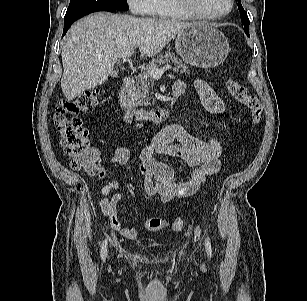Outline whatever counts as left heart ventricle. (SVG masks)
<instances>
[{
  "instance_id": "left-heart-ventricle-1",
  "label": "left heart ventricle",
  "mask_w": 307,
  "mask_h": 301,
  "mask_svg": "<svg viewBox=\"0 0 307 301\" xmlns=\"http://www.w3.org/2000/svg\"><path fill=\"white\" fill-rule=\"evenodd\" d=\"M195 6L210 14H221L228 10L229 0H194Z\"/></svg>"
}]
</instances>
